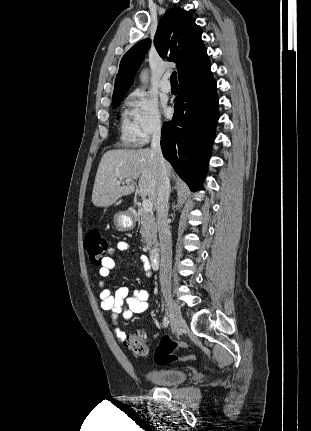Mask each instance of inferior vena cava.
<instances>
[{
	"label": "inferior vena cava",
	"instance_id": "obj_1",
	"mask_svg": "<svg viewBox=\"0 0 311 431\" xmlns=\"http://www.w3.org/2000/svg\"><path fill=\"white\" fill-rule=\"evenodd\" d=\"M161 122L155 124L151 152L158 164V194L156 204V219L159 231L161 261H160V283L161 293L168 295L171 289V267H172V237L168 225V200L170 196V182L166 172V164L161 150Z\"/></svg>",
	"mask_w": 311,
	"mask_h": 431
}]
</instances>
